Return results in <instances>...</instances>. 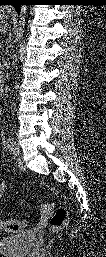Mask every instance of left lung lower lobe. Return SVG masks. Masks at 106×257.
<instances>
[{
  "instance_id": "left-lung-lower-lobe-1",
  "label": "left lung lower lobe",
  "mask_w": 106,
  "mask_h": 257,
  "mask_svg": "<svg viewBox=\"0 0 106 257\" xmlns=\"http://www.w3.org/2000/svg\"><path fill=\"white\" fill-rule=\"evenodd\" d=\"M11 2V5H13L16 11L19 12L22 0H12Z\"/></svg>"
}]
</instances>
